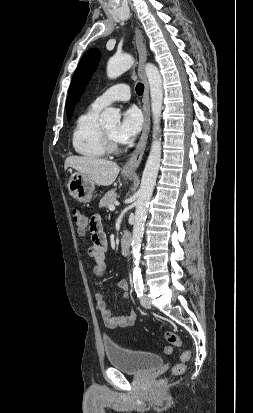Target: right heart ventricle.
Wrapping results in <instances>:
<instances>
[{"instance_id": "1", "label": "right heart ventricle", "mask_w": 253, "mask_h": 413, "mask_svg": "<svg viewBox=\"0 0 253 413\" xmlns=\"http://www.w3.org/2000/svg\"><path fill=\"white\" fill-rule=\"evenodd\" d=\"M100 111L92 104L75 122L72 146L77 154L85 158L96 159L106 154L99 123Z\"/></svg>"}]
</instances>
